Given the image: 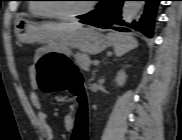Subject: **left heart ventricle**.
<instances>
[{
	"label": "left heart ventricle",
	"mask_w": 182,
	"mask_h": 140,
	"mask_svg": "<svg viewBox=\"0 0 182 140\" xmlns=\"http://www.w3.org/2000/svg\"><path fill=\"white\" fill-rule=\"evenodd\" d=\"M64 2H61L59 5L60 9L67 13H73L77 12L81 9H83L87 3L86 1L82 0H62Z\"/></svg>",
	"instance_id": "1"
}]
</instances>
